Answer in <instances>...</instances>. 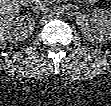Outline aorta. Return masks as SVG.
Listing matches in <instances>:
<instances>
[{
	"mask_svg": "<svg viewBox=\"0 0 111 106\" xmlns=\"http://www.w3.org/2000/svg\"><path fill=\"white\" fill-rule=\"evenodd\" d=\"M56 16L57 17H62V16H64V11L63 10H58L57 12H56Z\"/></svg>",
	"mask_w": 111,
	"mask_h": 106,
	"instance_id": "762f6f07",
	"label": "aorta"
}]
</instances>
